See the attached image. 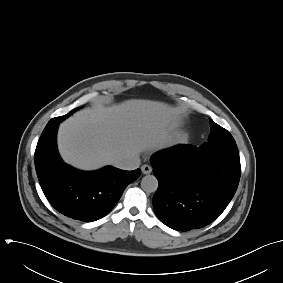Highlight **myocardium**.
<instances>
[{
    "label": "myocardium",
    "instance_id": "f54148a6",
    "mask_svg": "<svg viewBox=\"0 0 283 283\" xmlns=\"http://www.w3.org/2000/svg\"><path fill=\"white\" fill-rule=\"evenodd\" d=\"M180 142L175 143L171 148L176 147L177 145H179Z\"/></svg>",
    "mask_w": 283,
    "mask_h": 283
}]
</instances>
